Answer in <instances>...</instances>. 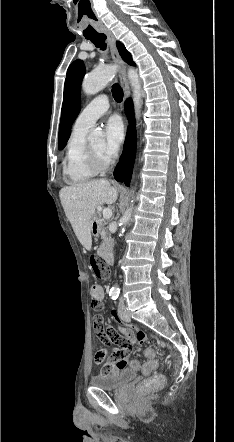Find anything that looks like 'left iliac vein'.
Segmentation results:
<instances>
[{
  "label": "left iliac vein",
  "mask_w": 234,
  "mask_h": 442,
  "mask_svg": "<svg viewBox=\"0 0 234 442\" xmlns=\"http://www.w3.org/2000/svg\"><path fill=\"white\" fill-rule=\"evenodd\" d=\"M118 313H119V317L123 321H130V316H129L128 311H127L125 305L123 304V302H121L119 305Z\"/></svg>",
  "instance_id": "1"
}]
</instances>
